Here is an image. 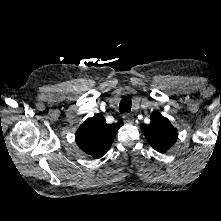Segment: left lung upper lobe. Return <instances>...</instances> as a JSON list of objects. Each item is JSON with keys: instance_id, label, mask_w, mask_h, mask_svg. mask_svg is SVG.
Instances as JSON below:
<instances>
[{"instance_id": "obj_1", "label": "left lung upper lobe", "mask_w": 221, "mask_h": 221, "mask_svg": "<svg viewBox=\"0 0 221 221\" xmlns=\"http://www.w3.org/2000/svg\"><path fill=\"white\" fill-rule=\"evenodd\" d=\"M149 125H142L143 131L148 143L157 151L163 153L168 150L177 140V131L170 121L155 112L150 117Z\"/></svg>"}]
</instances>
